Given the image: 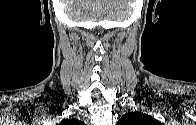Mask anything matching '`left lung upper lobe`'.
Listing matches in <instances>:
<instances>
[{
    "label": "left lung upper lobe",
    "instance_id": "1",
    "mask_svg": "<svg viewBox=\"0 0 196 125\" xmlns=\"http://www.w3.org/2000/svg\"><path fill=\"white\" fill-rule=\"evenodd\" d=\"M117 125H159V122L153 117L137 111L125 114Z\"/></svg>",
    "mask_w": 196,
    "mask_h": 125
}]
</instances>
